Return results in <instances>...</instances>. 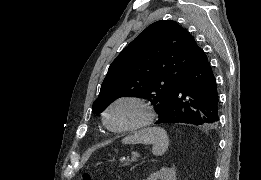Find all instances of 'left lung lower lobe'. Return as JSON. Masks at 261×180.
Returning a JSON list of instances; mask_svg holds the SVG:
<instances>
[{
  "instance_id": "0a47b994",
  "label": "left lung lower lobe",
  "mask_w": 261,
  "mask_h": 180,
  "mask_svg": "<svg viewBox=\"0 0 261 180\" xmlns=\"http://www.w3.org/2000/svg\"><path fill=\"white\" fill-rule=\"evenodd\" d=\"M218 106L216 78L204 51L198 47L194 61L179 78L156 123H187L215 129Z\"/></svg>"
}]
</instances>
